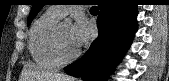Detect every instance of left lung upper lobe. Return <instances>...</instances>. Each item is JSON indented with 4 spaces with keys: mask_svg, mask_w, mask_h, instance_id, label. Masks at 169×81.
Instances as JSON below:
<instances>
[{
    "mask_svg": "<svg viewBox=\"0 0 169 81\" xmlns=\"http://www.w3.org/2000/svg\"><path fill=\"white\" fill-rule=\"evenodd\" d=\"M32 9L28 18V25L32 22L35 15L39 12V10L45 5V0H32Z\"/></svg>",
    "mask_w": 169,
    "mask_h": 81,
    "instance_id": "obj_1",
    "label": "left lung upper lobe"
}]
</instances>
